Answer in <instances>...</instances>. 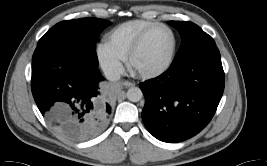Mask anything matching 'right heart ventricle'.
<instances>
[{
	"label": "right heart ventricle",
	"mask_w": 267,
	"mask_h": 166,
	"mask_svg": "<svg viewBox=\"0 0 267 166\" xmlns=\"http://www.w3.org/2000/svg\"><path fill=\"white\" fill-rule=\"evenodd\" d=\"M155 24L144 19L122 23L108 34V43L124 59L140 35Z\"/></svg>",
	"instance_id": "e07e8e85"
}]
</instances>
